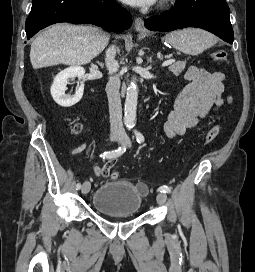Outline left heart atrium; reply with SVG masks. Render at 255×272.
Instances as JSON below:
<instances>
[{
    "label": "left heart atrium",
    "instance_id": "obj_1",
    "mask_svg": "<svg viewBox=\"0 0 255 272\" xmlns=\"http://www.w3.org/2000/svg\"><path fill=\"white\" fill-rule=\"evenodd\" d=\"M133 6L147 7L153 5L157 0H122Z\"/></svg>",
    "mask_w": 255,
    "mask_h": 272
}]
</instances>
